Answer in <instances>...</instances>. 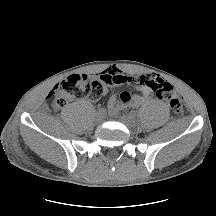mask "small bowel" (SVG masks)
Instances as JSON below:
<instances>
[{"mask_svg": "<svg viewBox=\"0 0 216 216\" xmlns=\"http://www.w3.org/2000/svg\"><path fill=\"white\" fill-rule=\"evenodd\" d=\"M158 77L156 75H140V76H131L126 72L117 69V68H108L98 74V78L103 84V94L106 95L109 92V89L116 85L127 84L133 87L135 94L133 95L129 106L138 107L145 103L151 96V90L145 86L142 81ZM114 98L111 100V107L113 106Z\"/></svg>", "mask_w": 216, "mask_h": 216, "instance_id": "c3829d8e", "label": "small bowel"}]
</instances>
